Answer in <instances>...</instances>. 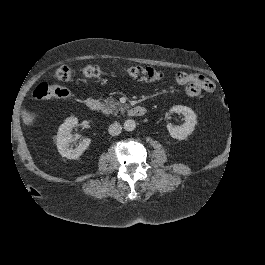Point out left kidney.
Here are the masks:
<instances>
[{
	"mask_svg": "<svg viewBox=\"0 0 265 265\" xmlns=\"http://www.w3.org/2000/svg\"><path fill=\"white\" fill-rule=\"evenodd\" d=\"M169 112L181 113L183 114L185 120V123L181 126H173L172 124L167 125V129L171 137L179 140L186 139L187 136L194 131L195 125L197 123L196 114L191 108L182 105L173 106Z\"/></svg>",
	"mask_w": 265,
	"mask_h": 265,
	"instance_id": "obj_1",
	"label": "left kidney"
}]
</instances>
